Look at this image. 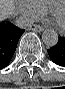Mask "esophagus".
<instances>
[{
  "instance_id": "obj_1",
  "label": "esophagus",
  "mask_w": 65,
  "mask_h": 89,
  "mask_svg": "<svg viewBox=\"0 0 65 89\" xmlns=\"http://www.w3.org/2000/svg\"><path fill=\"white\" fill-rule=\"evenodd\" d=\"M29 30L40 32V31H43L44 28L42 26H39V25H32V26L29 27Z\"/></svg>"
}]
</instances>
